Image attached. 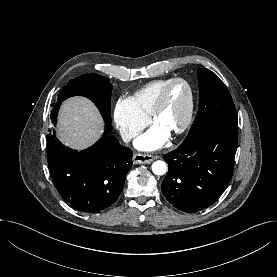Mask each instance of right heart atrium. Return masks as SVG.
Listing matches in <instances>:
<instances>
[{"label":"right heart atrium","mask_w":277,"mask_h":277,"mask_svg":"<svg viewBox=\"0 0 277 277\" xmlns=\"http://www.w3.org/2000/svg\"><path fill=\"white\" fill-rule=\"evenodd\" d=\"M113 118L124 141L136 137L149 123V118L138 110L131 97H121L117 100Z\"/></svg>","instance_id":"obj_1"}]
</instances>
